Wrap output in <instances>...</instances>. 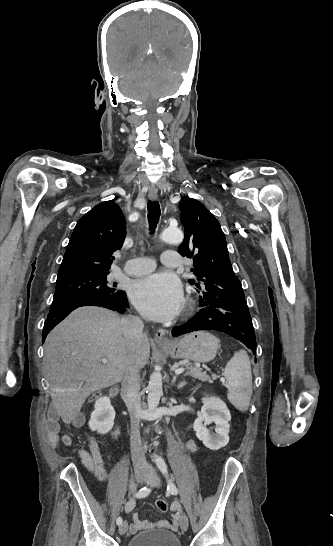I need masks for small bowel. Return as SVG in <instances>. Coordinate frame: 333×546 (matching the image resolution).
Wrapping results in <instances>:
<instances>
[{
    "label": "small bowel",
    "mask_w": 333,
    "mask_h": 546,
    "mask_svg": "<svg viewBox=\"0 0 333 546\" xmlns=\"http://www.w3.org/2000/svg\"><path fill=\"white\" fill-rule=\"evenodd\" d=\"M83 423V419L81 416L76 418L73 421V424L76 426H80ZM48 441L52 446H59L60 444H63L66 447H69L76 451L79 456L81 457L86 469L93 473L97 478L103 477L105 475V469L103 466V461L100 455L98 444L94 437L89 438L90 443V450L86 451L84 449H77L73 447V442L70 436L66 434H61V428L58 422V418L53 417L49 420L48 426ZM187 447L191 452L197 451V446L193 441H188ZM135 507V501L129 500L125 504V510L127 513H130ZM172 520L169 521H161L159 522V526L169 529H174L179 524V514L181 510V506L179 503H174L172 505ZM152 525L151 522L141 520L137 514L133 515V523L129 525V532L130 533H136L140 529L144 527H149Z\"/></svg>",
    "instance_id": "1"
}]
</instances>
